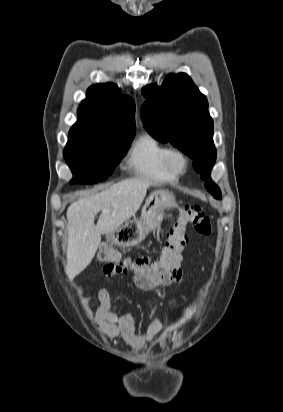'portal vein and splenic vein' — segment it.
<instances>
[{"instance_id":"18ae733b","label":"portal vein and splenic vein","mask_w":283,"mask_h":412,"mask_svg":"<svg viewBox=\"0 0 283 412\" xmlns=\"http://www.w3.org/2000/svg\"><path fill=\"white\" fill-rule=\"evenodd\" d=\"M102 212H103V213H109V212H110V209H104Z\"/></svg>"}]
</instances>
